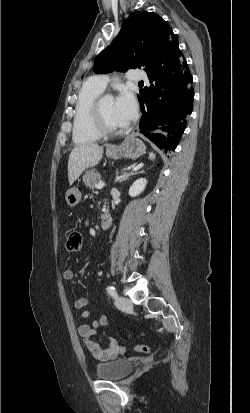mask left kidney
<instances>
[{
    "mask_svg": "<svg viewBox=\"0 0 250 413\" xmlns=\"http://www.w3.org/2000/svg\"><path fill=\"white\" fill-rule=\"evenodd\" d=\"M146 184H147V180H146L145 178L137 179V180L131 185V187H130V189H129V195H130L131 197H135V196L141 194V193L144 191V189H145V187H146Z\"/></svg>",
    "mask_w": 250,
    "mask_h": 413,
    "instance_id": "left-kidney-1",
    "label": "left kidney"
}]
</instances>
